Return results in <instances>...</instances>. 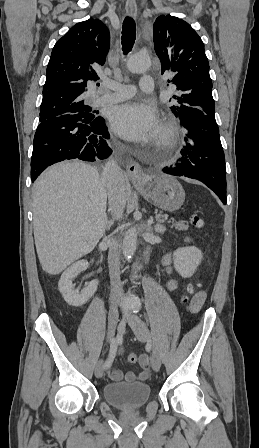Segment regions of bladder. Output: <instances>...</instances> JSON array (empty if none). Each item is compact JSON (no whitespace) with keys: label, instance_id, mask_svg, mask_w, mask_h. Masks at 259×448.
<instances>
[{"label":"bladder","instance_id":"bladder-1","mask_svg":"<svg viewBox=\"0 0 259 448\" xmlns=\"http://www.w3.org/2000/svg\"><path fill=\"white\" fill-rule=\"evenodd\" d=\"M105 400L113 407L132 410L144 406L151 395L147 383H109L103 388Z\"/></svg>","mask_w":259,"mask_h":448}]
</instances>
